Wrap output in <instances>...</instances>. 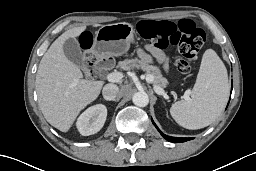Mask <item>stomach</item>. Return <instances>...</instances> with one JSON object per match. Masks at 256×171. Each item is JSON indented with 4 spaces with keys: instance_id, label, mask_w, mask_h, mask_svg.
I'll return each mask as SVG.
<instances>
[{
    "instance_id": "0dacf381",
    "label": "stomach",
    "mask_w": 256,
    "mask_h": 171,
    "mask_svg": "<svg viewBox=\"0 0 256 171\" xmlns=\"http://www.w3.org/2000/svg\"><path fill=\"white\" fill-rule=\"evenodd\" d=\"M134 42V28L130 23L121 22L102 26L95 36L93 54L105 59L125 54Z\"/></svg>"
}]
</instances>
